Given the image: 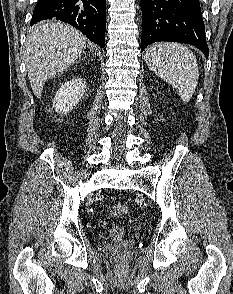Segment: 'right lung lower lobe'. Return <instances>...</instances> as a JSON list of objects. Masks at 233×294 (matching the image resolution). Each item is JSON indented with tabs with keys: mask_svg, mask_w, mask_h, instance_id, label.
Wrapping results in <instances>:
<instances>
[{
	"mask_svg": "<svg viewBox=\"0 0 233 294\" xmlns=\"http://www.w3.org/2000/svg\"><path fill=\"white\" fill-rule=\"evenodd\" d=\"M105 10L106 0H39L30 23L55 18L71 24L92 42L104 47Z\"/></svg>",
	"mask_w": 233,
	"mask_h": 294,
	"instance_id": "obj_1",
	"label": "right lung lower lobe"
}]
</instances>
